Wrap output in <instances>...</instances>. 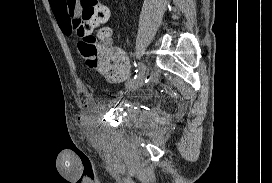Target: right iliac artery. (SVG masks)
Segmentation results:
<instances>
[{"mask_svg":"<svg viewBox=\"0 0 272 183\" xmlns=\"http://www.w3.org/2000/svg\"><path fill=\"white\" fill-rule=\"evenodd\" d=\"M135 66L138 68H135L132 76H129V81H138V78H141V75L143 74V71L140 69H145V66L142 63L135 64Z\"/></svg>","mask_w":272,"mask_h":183,"instance_id":"right-iliac-artery-1","label":"right iliac artery"}]
</instances>
